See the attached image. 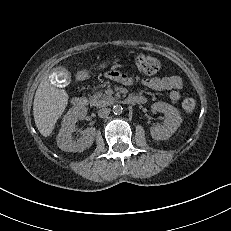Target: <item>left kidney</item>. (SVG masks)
<instances>
[{
    "label": "left kidney",
    "instance_id": "5707ae66",
    "mask_svg": "<svg viewBox=\"0 0 231 231\" xmlns=\"http://www.w3.org/2000/svg\"><path fill=\"white\" fill-rule=\"evenodd\" d=\"M153 112H161L165 115L163 125H156L150 128V133L155 140H166L170 138L182 123L179 111L172 105L165 102H156L151 106Z\"/></svg>",
    "mask_w": 231,
    "mask_h": 231
}]
</instances>
